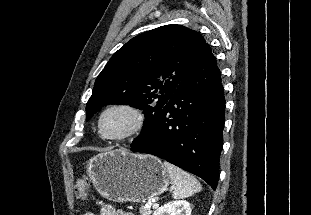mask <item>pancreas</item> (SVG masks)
<instances>
[{
  "mask_svg": "<svg viewBox=\"0 0 311 215\" xmlns=\"http://www.w3.org/2000/svg\"><path fill=\"white\" fill-rule=\"evenodd\" d=\"M139 211L140 215H150L152 213L151 208H147L145 206L140 207Z\"/></svg>",
  "mask_w": 311,
  "mask_h": 215,
  "instance_id": "1",
  "label": "pancreas"
}]
</instances>
